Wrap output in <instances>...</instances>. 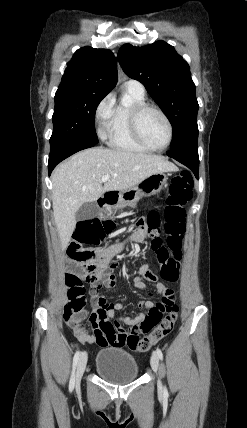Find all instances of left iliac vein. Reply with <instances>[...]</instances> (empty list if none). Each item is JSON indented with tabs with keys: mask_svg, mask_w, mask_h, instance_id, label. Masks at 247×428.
Segmentation results:
<instances>
[{
	"mask_svg": "<svg viewBox=\"0 0 247 428\" xmlns=\"http://www.w3.org/2000/svg\"><path fill=\"white\" fill-rule=\"evenodd\" d=\"M150 363H151V367H152V369H153L156 373H158V371H159V358H158V356H157L156 352H153V353H152ZM157 385H158V389H159V390H162V389H163V386H162V383H161V380H160V379H158V383H157Z\"/></svg>",
	"mask_w": 247,
	"mask_h": 428,
	"instance_id": "1",
	"label": "left iliac vein"
}]
</instances>
